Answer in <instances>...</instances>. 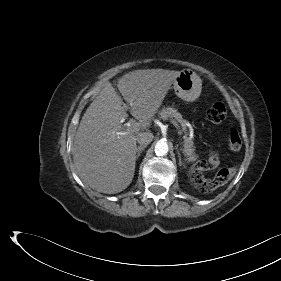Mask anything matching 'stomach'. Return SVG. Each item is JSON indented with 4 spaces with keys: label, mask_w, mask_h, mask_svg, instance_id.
I'll list each match as a JSON object with an SVG mask.
<instances>
[{
    "label": "stomach",
    "mask_w": 281,
    "mask_h": 281,
    "mask_svg": "<svg viewBox=\"0 0 281 281\" xmlns=\"http://www.w3.org/2000/svg\"><path fill=\"white\" fill-rule=\"evenodd\" d=\"M176 95L188 102L196 100L201 93L202 80L190 69H184L173 82Z\"/></svg>",
    "instance_id": "obj_1"
}]
</instances>
